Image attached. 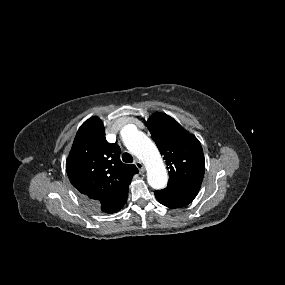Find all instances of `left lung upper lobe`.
<instances>
[{"label": "left lung upper lobe", "mask_w": 285, "mask_h": 285, "mask_svg": "<svg viewBox=\"0 0 285 285\" xmlns=\"http://www.w3.org/2000/svg\"><path fill=\"white\" fill-rule=\"evenodd\" d=\"M145 124L166 160L170 177L168 186L199 191L205 172L199 140L163 113L153 114Z\"/></svg>", "instance_id": "1"}]
</instances>
